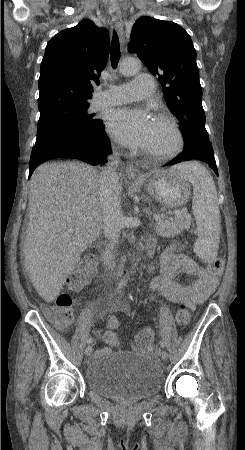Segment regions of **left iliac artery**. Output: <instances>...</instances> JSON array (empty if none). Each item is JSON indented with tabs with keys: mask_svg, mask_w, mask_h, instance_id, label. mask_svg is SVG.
Here are the masks:
<instances>
[{
	"mask_svg": "<svg viewBox=\"0 0 245 450\" xmlns=\"http://www.w3.org/2000/svg\"><path fill=\"white\" fill-rule=\"evenodd\" d=\"M129 295H130L131 300H134L132 294H129ZM160 346H161L162 348L165 347L164 341H162V340L160 341Z\"/></svg>",
	"mask_w": 245,
	"mask_h": 450,
	"instance_id": "left-iliac-artery-1",
	"label": "left iliac artery"
}]
</instances>
